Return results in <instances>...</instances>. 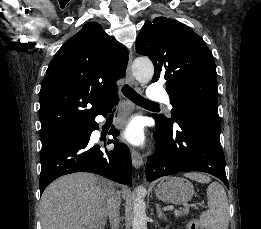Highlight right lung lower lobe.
<instances>
[{
  "mask_svg": "<svg viewBox=\"0 0 261 229\" xmlns=\"http://www.w3.org/2000/svg\"><path fill=\"white\" fill-rule=\"evenodd\" d=\"M114 100L104 112L100 113L101 115L106 116ZM97 129L98 124L94 121L86 129L62 138L42 150L39 183L41 193L56 178L74 172L95 173L132 186V163L128 147L116 140H109L108 144H115L114 149L100 150V146L89 142L92 131ZM109 134L116 138L119 131L112 128ZM104 143L106 145V141Z\"/></svg>",
  "mask_w": 261,
  "mask_h": 229,
  "instance_id": "right-lung-lower-lobe-1",
  "label": "right lung lower lobe"
}]
</instances>
